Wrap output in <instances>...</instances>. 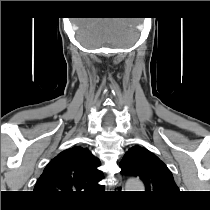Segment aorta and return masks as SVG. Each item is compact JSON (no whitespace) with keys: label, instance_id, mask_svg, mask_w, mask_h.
Masks as SVG:
<instances>
[{"label":"aorta","instance_id":"obj_1","mask_svg":"<svg viewBox=\"0 0 210 210\" xmlns=\"http://www.w3.org/2000/svg\"><path fill=\"white\" fill-rule=\"evenodd\" d=\"M126 189H128L127 191H143L144 185L138 179H130L126 183Z\"/></svg>","mask_w":210,"mask_h":210}]
</instances>
